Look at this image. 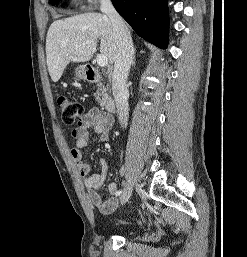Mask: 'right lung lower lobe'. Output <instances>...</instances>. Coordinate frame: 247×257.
<instances>
[{"label": "right lung lower lobe", "instance_id": "1", "mask_svg": "<svg viewBox=\"0 0 247 257\" xmlns=\"http://www.w3.org/2000/svg\"><path fill=\"white\" fill-rule=\"evenodd\" d=\"M112 3L140 37L166 48L169 24L167 0H112Z\"/></svg>", "mask_w": 247, "mask_h": 257}]
</instances>
